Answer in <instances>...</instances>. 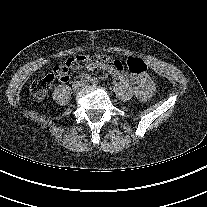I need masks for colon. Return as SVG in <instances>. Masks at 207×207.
Here are the masks:
<instances>
[{
  "instance_id": "5ec220e1",
  "label": "colon",
  "mask_w": 207,
  "mask_h": 207,
  "mask_svg": "<svg viewBox=\"0 0 207 207\" xmlns=\"http://www.w3.org/2000/svg\"><path fill=\"white\" fill-rule=\"evenodd\" d=\"M111 63L112 59L103 54H89L70 57L63 65L56 66L53 72L35 78L30 84V93L35 100L42 101L47 96L58 73H69L70 70H77L88 64H96L98 66L105 67ZM126 66L129 72L135 75L143 74L147 71V65L145 62L135 57H128L126 59Z\"/></svg>"
}]
</instances>
